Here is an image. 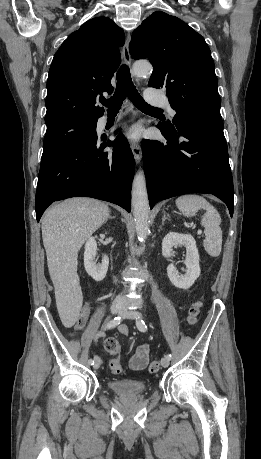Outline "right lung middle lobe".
<instances>
[{"instance_id": "dd1d6c3e", "label": "right lung middle lobe", "mask_w": 261, "mask_h": 459, "mask_svg": "<svg viewBox=\"0 0 261 459\" xmlns=\"http://www.w3.org/2000/svg\"><path fill=\"white\" fill-rule=\"evenodd\" d=\"M97 120H65L48 126L41 163L58 154L97 139Z\"/></svg>"}]
</instances>
